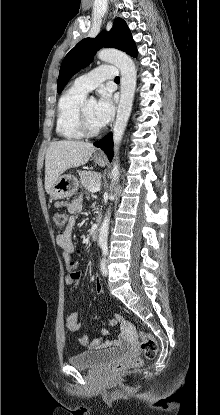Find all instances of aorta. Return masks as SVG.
<instances>
[{
	"label": "aorta",
	"mask_w": 220,
	"mask_h": 415,
	"mask_svg": "<svg viewBox=\"0 0 220 415\" xmlns=\"http://www.w3.org/2000/svg\"><path fill=\"white\" fill-rule=\"evenodd\" d=\"M98 58L101 61L114 64L119 68L121 72V95L120 102L117 109L116 122L113 128V141H114V150L115 156L113 158V168L111 171L112 175V185L110 186L111 192L116 181L119 179V161H118V150L119 146L126 129L131 110L132 103L134 99V93L136 88V67L133 60L126 55L125 53L118 51L116 49H102L97 53ZM93 100V97H91ZM113 198L111 193L110 199ZM109 222H110V210H108L107 215L105 216L102 225L100 227L99 233V244L103 245L107 243L108 231H109Z\"/></svg>",
	"instance_id": "1"
}]
</instances>
